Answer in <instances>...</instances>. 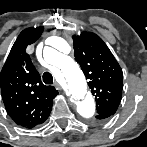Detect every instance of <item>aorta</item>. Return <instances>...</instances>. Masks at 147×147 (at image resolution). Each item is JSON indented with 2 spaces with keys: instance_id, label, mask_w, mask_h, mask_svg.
Returning a JSON list of instances; mask_svg holds the SVG:
<instances>
[{
  "instance_id": "762f6f07",
  "label": "aorta",
  "mask_w": 147,
  "mask_h": 147,
  "mask_svg": "<svg viewBox=\"0 0 147 147\" xmlns=\"http://www.w3.org/2000/svg\"><path fill=\"white\" fill-rule=\"evenodd\" d=\"M45 60L61 69V77L66 85L70 97L79 102L80 113L84 116L92 114L94 103L86 99V81L78 64L53 48H45Z\"/></svg>"
}]
</instances>
